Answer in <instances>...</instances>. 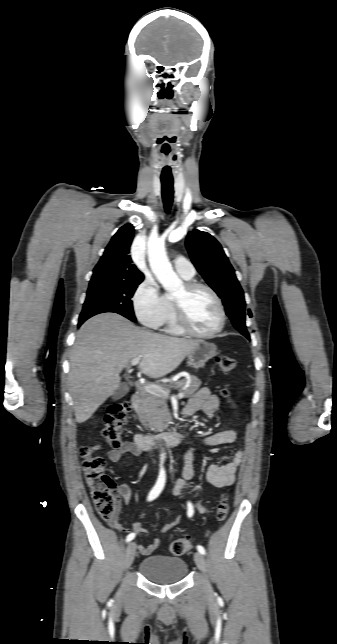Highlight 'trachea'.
Returning a JSON list of instances; mask_svg holds the SVG:
<instances>
[{
  "instance_id": "1",
  "label": "trachea",
  "mask_w": 337,
  "mask_h": 644,
  "mask_svg": "<svg viewBox=\"0 0 337 644\" xmlns=\"http://www.w3.org/2000/svg\"><path fill=\"white\" fill-rule=\"evenodd\" d=\"M161 186H162V199L164 203V208L166 212L169 213L173 203V195H174L173 181L162 179Z\"/></svg>"
}]
</instances>
